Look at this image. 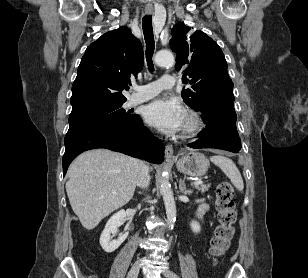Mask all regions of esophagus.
<instances>
[{
  "label": "esophagus",
  "instance_id": "34e87169",
  "mask_svg": "<svg viewBox=\"0 0 308 278\" xmlns=\"http://www.w3.org/2000/svg\"><path fill=\"white\" fill-rule=\"evenodd\" d=\"M145 12L148 15L152 13L151 10H146ZM165 158H166V161H171L174 159V150H173L172 145L170 144H167L165 146Z\"/></svg>",
  "mask_w": 308,
  "mask_h": 278
}]
</instances>
